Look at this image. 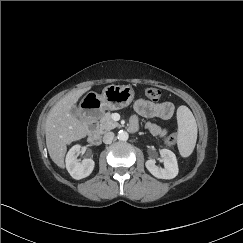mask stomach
<instances>
[{
    "label": "stomach",
    "mask_w": 243,
    "mask_h": 243,
    "mask_svg": "<svg viewBox=\"0 0 243 243\" xmlns=\"http://www.w3.org/2000/svg\"><path fill=\"white\" fill-rule=\"evenodd\" d=\"M134 99V90L131 86L125 85H108L102 94L89 92L82 100L92 103V107L99 108L100 111L104 110H119L127 107Z\"/></svg>",
    "instance_id": "1"
}]
</instances>
